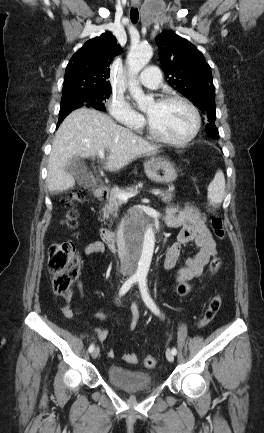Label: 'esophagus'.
Instances as JSON below:
<instances>
[{
	"mask_svg": "<svg viewBox=\"0 0 264 433\" xmlns=\"http://www.w3.org/2000/svg\"><path fill=\"white\" fill-rule=\"evenodd\" d=\"M132 3H133L134 6H137L138 5V0H132Z\"/></svg>",
	"mask_w": 264,
	"mask_h": 433,
	"instance_id": "34e87169",
	"label": "esophagus"
}]
</instances>
